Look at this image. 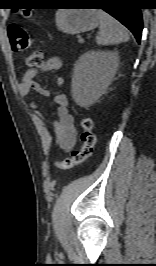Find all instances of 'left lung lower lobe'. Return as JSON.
<instances>
[{
	"label": "left lung lower lobe",
	"mask_w": 156,
	"mask_h": 266,
	"mask_svg": "<svg viewBox=\"0 0 156 266\" xmlns=\"http://www.w3.org/2000/svg\"><path fill=\"white\" fill-rule=\"evenodd\" d=\"M69 3L99 5L107 13L112 15L124 26H126L135 36L138 43H140L141 33L143 29V20L141 8L137 7L133 0H104L98 2L97 0H68Z\"/></svg>",
	"instance_id": "0a47b994"
}]
</instances>
